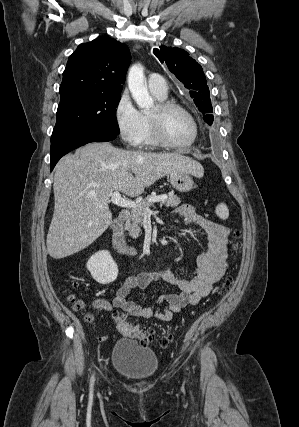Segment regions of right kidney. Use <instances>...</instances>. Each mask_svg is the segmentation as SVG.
Segmentation results:
<instances>
[{
    "instance_id": "ca27d5eb",
    "label": "right kidney",
    "mask_w": 299,
    "mask_h": 427,
    "mask_svg": "<svg viewBox=\"0 0 299 427\" xmlns=\"http://www.w3.org/2000/svg\"><path fill=\"white\" fill-rule=\"evenodd\" d=\"M87 269L100 284H109L118 276V266L108 251H99L87 262Z\"/></svg>"
}]
</instances>
